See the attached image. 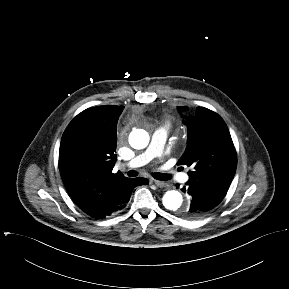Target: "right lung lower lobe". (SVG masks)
I'll use <instances>...</instances> for the list:
<instances>
[{
  "label": "right lung lower lobe",
  "mask_w": 289,
  "mask_h": 289,
  "mask_svg": "<svg viewBox=\"0 0 289 289\" xmlns=\"http://www.w3.org/2000/svg\"><path fill=\"white\" fill-rule=\"evenodd\" d=\"M148 183H149V181L146 178H134V179H132L129 186L126 188V191L124 193V197L122 198V201H121L117 211L122 210L126 206L127 202L130 199L131 193L136 186L147 185Z\"/></svg>",
  "instance_id": "obj_1"
}]
</instances>
